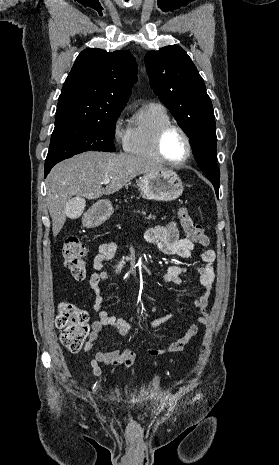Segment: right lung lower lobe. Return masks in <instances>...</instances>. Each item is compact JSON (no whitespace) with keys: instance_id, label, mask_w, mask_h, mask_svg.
<instances>
[{"instance_id":"right-lung-lower-lobe-1","label":"right lung lower lobe","mask_w":279,"mask_h":465,"mask_svg":"<svg viewBox=\"0 0 279 465\" xmlns=\"http://www.w3.org/2000/svg\"><path fill=\"white\" fill-rule=\"evenodd\" d=\"M53 166H54V165L45 167V177L47 176V174L49 173L50 169H51Z\"/></svg>"}]
</instances>
